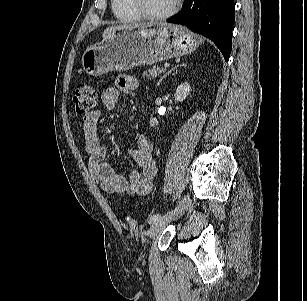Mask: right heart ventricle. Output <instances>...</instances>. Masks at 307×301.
<instances>
[{
    "mask_svg": "<svg viewBox=\"0 0 307 301\" xmlns=\"http://www.w3.org/2000/svg\"><path fill=\"white\" fill-rule=\"evenodd\" d=\"M111 7L115 17L121 22L131 23L141 19L132 8L130 0H111Z\"/></svg>",
    "mask_w": 307,
    "mask_h": 301,
    "instance_id": "right-heart-ventricle-1",
    "label": "right heart ventricle"
}]
</instances>
